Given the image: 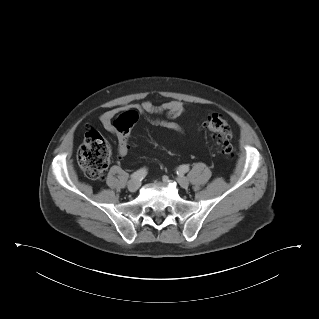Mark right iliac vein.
<instances>
[{
	"instance_id": "right-iliac-vein-1",
	"label": "right iliac vein",
	"mask_w": 319,
	"mask_h": 319,
	"mask_svg": "<svg viewBox=\"0 0 319 319\" xmlns=\"http://www.w3.org/2000/svg\"><path fill=\"white\" fill-rule=\"evenodd\" d=\"M140 185H141L140 180L133 179L128 182V189L130 192H136L139 189Z\"/></svg>"
}]
</instances>
